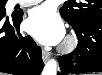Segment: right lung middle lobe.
Segmentation results:
<instances>
[{"instance_id":"1","label":"right lung middle lobe","mask_w":102,"mask_h":75,"mask_svg":"<svg viewBox=\"0 0 102 75\" xmlns=\"http://www.w3.org/2000/svg\"><path fill=\"white\" fill-rule=\"evenodd\" d=\"M5 4H6V1L4 0H1L0 1V14L5 16Z\"/></svg>"}]
</instances>
